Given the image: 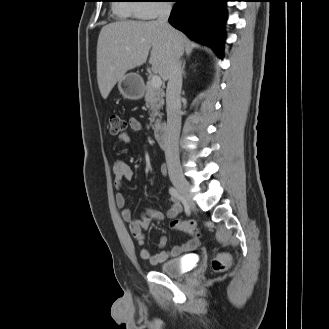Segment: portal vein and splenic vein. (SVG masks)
Here are the masks:
<instances>
[{"mask_svg":"<svg viewBox=\"0 0 329 329\" xmlns=\"http://www.w3.org/2000/svg\"><path fill=\"white\" fill-rule=\"evenodd\" d=\"M150 82H151V85L155 88H160L162 85L161 77L158 75H153Z\"/></svg>","mask_w":329,"mask_h":329,"instance_id":"obj_1","label":"portal vein and splenic vein"}]
</instances>
